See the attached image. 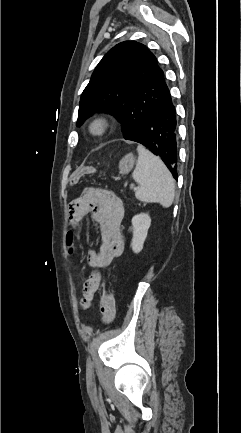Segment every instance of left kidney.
<instances>
[{"label":"left kidney","instance_id":"5707ae66","mask_svg":"<svg viewBox=\"0 0 241 433\" xmlns=\"http://www.w3.org/2000/svg\"><path fill=\"white\" fill-rule=\"evenodd\" d=\"M150 225L151 218L148 214L141 213L132 218L133 238L131 248L134 253H139L143 249Z\"/></svg>","mask_w":241,"mask_h":433}]
</instances>
